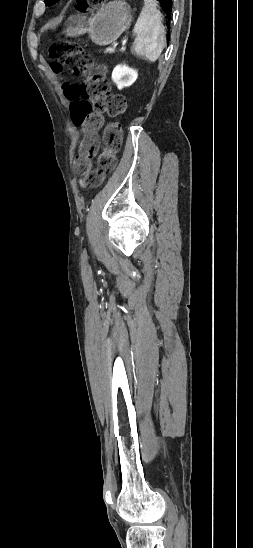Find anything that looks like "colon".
<instances>
[{"label":"colon","mask_w":253,"mask_h":548,"mask_svg":"<svg viewBox=\"0 0 253 548\" xmlns=\"http://www.w3.org/2000/svg\"><path fill=\"white\" fill-rule=\"evenodd\" d=\"M102 0H77L82 8L96 6ZM52 69L67 71L81 78V83L68 85L69 79L62 77L64 95L70 102L72 118L86 131L79 154L74 160V170L83 175L89 185H100L116 166L117 154L122 143V126L111 122L103 134V149L98 157L97 167L92 169L91 159L98 149L97 131L102 126L103 114L119 118L126 112L127 103L123 95L111 91L106 78V69L96 65L93 57L78 44L59 40L49 48Z\"/></svg>","instance_id":"colon-1"}]
</instances>
